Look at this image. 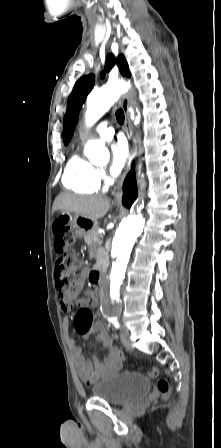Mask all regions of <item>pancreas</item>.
Instances as JSON below:
<instances>
[{
    "label": "pancreas",
    "instance_id": "obj_1",
    "mask_svg": "<svg viewBox=\"0 0 221 448\" xmlns=\"http://www.w3.org/2000/svg\"><path fill=\"white\" fill-rule=\"evenodd\" d=\"M85 243L89 247V250L96 258L98 266H104L107 262L104 249L101 247V240L98 238V233L95 229L91 230L85 237Z\"/></svg>",
    "mask_w": 221,
    "mask_h": 448
}]
</instances>
